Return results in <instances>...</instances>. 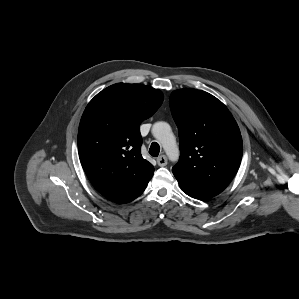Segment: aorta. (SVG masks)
Segmentation results:
<instances>
[{"instance_id": "762f6f07", "label": "aorta", "mask_w": 299, "mask_h": 299, "mask_svg": "<svg viewBox=\"0 0 299 299\" xmlns=\"http://www.w3.org/2000/svg\"><path fill=\"white\" fill-rule=\"evenodd\" d=\"M152 134L161 143L169 159L176 161L179 149L170 125L166 122H156L152 127Z\"/></svg>"}]
</instances>
